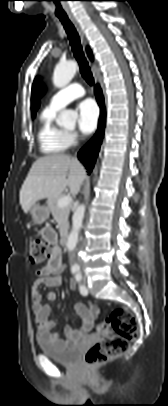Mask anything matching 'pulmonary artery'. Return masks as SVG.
<instances>
[{"label":"pulmonary artery","instance_id":"obj_1","mask_svg":"<svg viewBox=\"0 0 168 406\" xmlns=\"http://www.w3.org/2000/svg\"><path fill=\"white\" fill-rule=\"evenodd\" d=\"M85 95L83 86L78 82H73L57 91L50 99L49 106L60 109L71 101Z\"/></svg>","mask_w":168,"mask_h":406}]
</instances>
